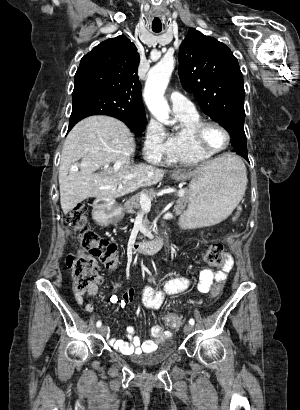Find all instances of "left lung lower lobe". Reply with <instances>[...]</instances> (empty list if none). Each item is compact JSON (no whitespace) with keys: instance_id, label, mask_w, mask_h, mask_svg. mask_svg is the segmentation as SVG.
<instances>
[{"instance_id":"left-lung-lower-lobe-1","label":"left lung lower lobe","mask_w":300,"mask_h":410,"mask_svg":"<svg viewBox=\"0 0 300 410\" xmlns=\"http://www.w3.org/2000/svg\"><path fill=\"white\" fill-rule=\"evenodd\" d=\"M239 155H241L242 157H244L247 161L248 160V154L242 153V152H237Z\"/></svg>"}]
</instances>
